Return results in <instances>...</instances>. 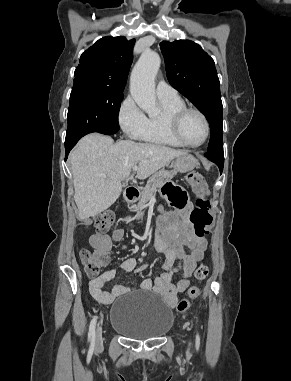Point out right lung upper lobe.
<instances>
[{
  "label": "right lung upper lobe",
  "mask_w": 291,
  "mask_h": 381,
  "mask_svg": "<svg viewBox=\"0 0 291 381\" xmlns=\"http://www.w3.org/2000/svg\"><path fill=\"white\" fill-rule=\"evenodd\" d=\"M135 39L103 37L84 51L75 70L73 88L124 90L133 60Z\"/></svg>",
  "instance_id": "obj_1"
}]
</instances>
